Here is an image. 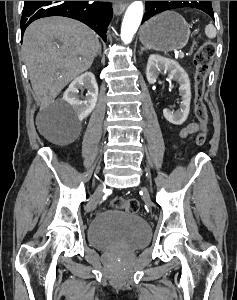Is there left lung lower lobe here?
I'll list each match as a JSON object with an SVG mask.
<instances>
[{
	"label": "left lung lower lobe",
	"instance_id": "left-lung-lower-lobe-1",
	"mask_svg": "<svg viewBox=\"0 0 237 300\" xmlns=\"http://www.w3.org/2000/svg\"><path fill=\"white\" fill-rule=\"evenodd\" d=\"M205 12H206L208 15H210V16L212 17V19H214V13H213L211 1H209V3H208V8H206Z\"/></svg>",
	"mask_w": 237,
	"mask_h": 300
}]
</instances>
